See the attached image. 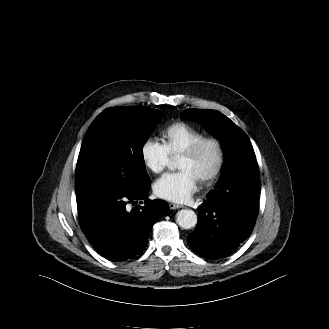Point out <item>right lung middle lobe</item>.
I'll list each match as a JSON object with an SVG mask.
<instances>
[{"label":"right lung middle lobe","instance_id":"right-lung-middle-lobe-1","mask_svg":"<svg viewBox=\"0 0 329 329\" xmlns=\"http://www.w3.org/2000/svg\"><path fill=\"white\" fill-rule=\"evenodd\" d=\"M161 111L122 106L104 110L83 140L75 177L76 194L97 185L137 192L150 184L142 148Z\"/></svg>","mask_w":329,"mask_h":329}]
</instances>
